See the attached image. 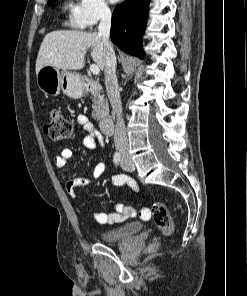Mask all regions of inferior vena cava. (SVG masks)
<instances>
[{"label": "inferior vena cava", "mask_w": 247, "mask_h": 296, "mask_svg": "<svg viewBox=\"0 0 247 296\" xmlns=\"http://www.w3.org/2000/svg\"><path fill=\"white\" fill-rule=\"evenodd\" d=\"M100 24L98 27L99 35L104 44V74L107 95L116 114V125L114 133V143L116 150L120 152L128 151V140L126 135L125 123L122 115V103L118 90V82L115 74L116 56L113 46L109 40L111 27V12L108 7H103L100 13Z\"/></svg>", "instance_id": "1"}]
</instances>
